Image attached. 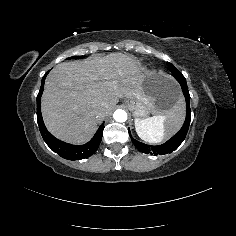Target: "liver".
<instances>
[{"label": "liver", "mask_w": 236, "mask_h": 236, "mask_svg": "<svg viewBox=\"0 0 236 236\" xmlns=\"http://www.w3.org/2000/svg\"><path fill=\"white\" fill-rule=\"evenodd\" d=\"M145 75L134 55L120 52L57 64L48 73L41 96L47 130L72 145L88 143L98 129L95 109L100 110V117H106L119 97L139 96ZM182 107L180 103L178 111Z\"/></svg>", "instance_id": "obj_1"}]
</instances>
